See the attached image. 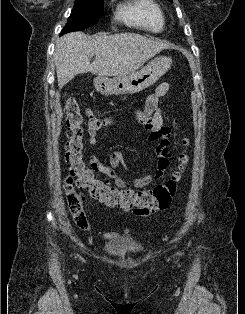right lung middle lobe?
<instances>
[{
    "label": "right lung middle lobe",
    "mask_w": 245,
    "mask_h": 314,
    "mask_svg": "<svg viewBox=\"0 0 245 314\" xmlns=\"http://www.w3.org/2000/svg\"><path fill=\"white\" fill-rule=\"evenodd\" d=\"M103 0H76L61 34L79 31L98 22L103 15Z\"/></svg>",
    "instance_id": "1"
}]
</instances>
